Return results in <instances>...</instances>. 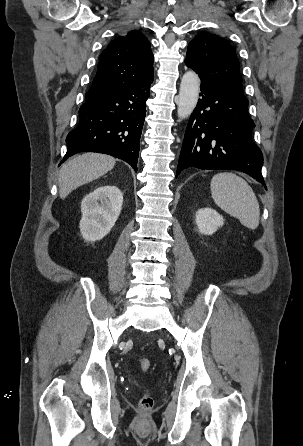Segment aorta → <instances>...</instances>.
Masks as SVG:
<instances>
[{
	"label": "aorta",
	"instance_id": "obj_1",
	"mask_svg": "<svg viewBox=\"0 0 303 446\" xmlns=\"http://www.w3.org/2000/svg\"><path fill=\"white\" fill-rule=\"evenodd\" d=\"M200 90V79L194 71H187L180 84L179 96L177 99V114L179 119H185L191 115L195 109Z\"/></svg>",
	"mask_w": 303,
	"mask_h": 446
}]
</instances>
